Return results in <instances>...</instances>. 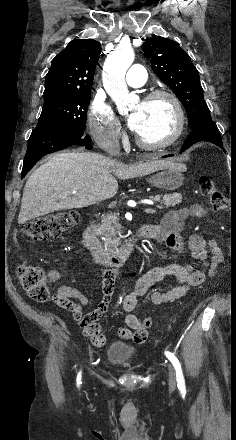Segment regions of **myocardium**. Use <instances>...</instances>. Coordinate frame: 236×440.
Returning a JSON list of instances; mask_svg holds the SVG:
<instances>
[{
    "mask_svg": "<svg viewBox=\"0 0 236 440\" xmlns=\"http://www.w3.org/2000/svg\"><path fill=\"white\" fill-rule=\"evenodd\" d=\"M158 98H167L172 104L175 113V128L172 135L168 139L159 143H149L142 140L139 136H136V144L146 150H161L173 145L181 138L185 129V114L178 97L169 90L156 89L147 93L143 99V102L152 101Z\"/></svg>",
    "mask_w": 236,
    "mask_h": 440,
    "instance_id": "f54148a6",
    "label": "myocardium"
}]
</instances>
